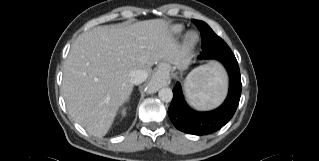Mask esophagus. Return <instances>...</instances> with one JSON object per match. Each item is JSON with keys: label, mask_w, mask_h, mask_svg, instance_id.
<instances>
[{"label": "esophagus", "mask_w": 319, "mask_h": 161, "mask_svg": "<svg viewBox=\"0 0 319 161\" xmlns=\"http://www.w3.org/2000/svg\"><path fill=\"white\" fill-rule=\"evenodd\" d=\"M166 82L164 80H162L161 78L158 77H153L150 80L149 86L153 89L158 90L159 88H161L163 85H165Z\"/></svg>", "instance_id": "esophagus-1"}]
</instances>
